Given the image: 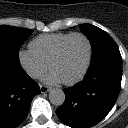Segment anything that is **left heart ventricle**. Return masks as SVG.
I'll return each mask as SVG.
<instances>
[{"mask_svg": "<svg viewBox=\"0 0 128 128\" xmlns=\"http://www.w3.org/2000/svg\"><path fill=\"white\" fill-rule=\"evenodd\" d=\"M87 58V43L82 37L71 38L60 59L52 66L61 81L75 78L83 69Z\"/></svg>", "mask_w": 128, "mask_h": 128, "instance_id": "left-heart-ventricle-1", "label": "left heart ventricle"}]
</instances>
